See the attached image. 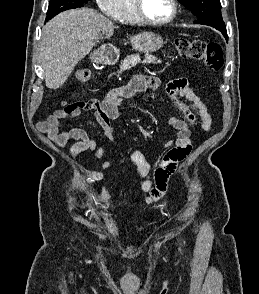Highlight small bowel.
Returning a JSON list of instances; mask_svg holds the SVG:
<instances>
[{
  "label": "small bowel",
  "mask_w": 259,
  "mask_h": 294,
  "mask_svg": "<svg viewBox=\"0 0 259 294\" xmlns=\"http://www.w3.org/2000/svg\"><path fill=\"white\" fill-rule=\"evenodd\" d=\"M159 87L160 81L158 78L137 75L126 86L109 91L103 99L77 101L64 109L56 110L46 120L38 122L37 129L47 134L49 139L60 148H63L68 143H73L72 157L81 152L89 151L99 160L104 154V147L98 145L97 141L82 128L77 127L61 131L62 120L74 118L83 113H93L103 130L104 138L113 140L115 128L111 125V121L119 117L125 99L136 93ZM165 91L182 117L171 116L169 118L168 123L176 131L177 138L166 143V146L175 145V147L167 151L161 158L154 172V183L150 180H144L141 185L142 191L147 194L144 202L148 205L157 202L164 196L169 177L173 174L177 165L190 154V127L198 120L203 131L208 132L212 122L206 106L191 89L187 79L180 78L169 82L165 87ZM182 98L188 100L189 105H184L181 102ZM130 158L136 166L137 176H147L151 170V165L142 152L134 150L130 154ZM110 165L111 162L106 160L101 166L103 169H107ZM84 175L96 181L104 178V173L100 171L86 170ZM109 200L110 195L103 188L101 201L108 204Z\"/></svg>",
  "instance_id": "c3829d8e"
}]
</instances>
